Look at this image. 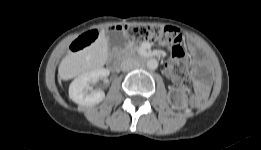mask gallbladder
<instances>
[{"label": "gallbladder", "instance_id": "bac80fb5", "mask_svg": "<svg viewBox=\"0 0 261 150\" xmlns=\"http://www.w3.org/2000/svg\"><path fill=\"white\" fill-rule=\"evenodd\" d=\"M105 36L110 50L115 48L122 49L127 44V39L121 31L106 30Z\"/></svg>", "mask_w": 261, "mask_h": 150}]
</instances>
